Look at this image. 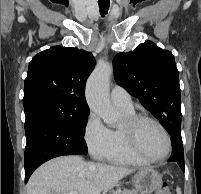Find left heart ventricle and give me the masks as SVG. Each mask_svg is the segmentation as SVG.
<instances>
[{
	"label": "left heart ventricle",
	"instance_id": "left-heart-ventricle-1",
	"mask_svg": "<svg viewBox=\"0 0 201 194\" xmlns=\"http://www.w3.org/2000/svg\"><path fill=\"white\" fill-rule=\"evenodd\" d=\"M137 142L147 156L157 158L167 150V140L162 131L150 122H143L138 130Z\"/></svg>",
	"mask_w": 201,
	"mask_h": 194
}]
</instances>
